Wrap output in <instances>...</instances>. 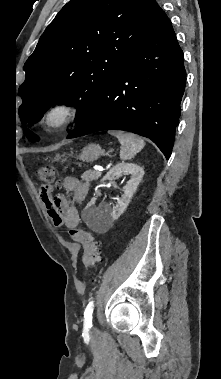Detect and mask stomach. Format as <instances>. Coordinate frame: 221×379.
<instances>
[{"label": "stomach", "instance_id": "stomach-1", "mask_svg": "<svg viewBox=\"0 0 221 379\" xmlns=\"http://www.w3.org/2000/svg\"><path fill=\"white\" fill-rule=\"evenodd\" d=\"M103 154L102 148L98 144H89L84 147L82 150L79 159L85 162H94ZM56 159H60V156L57 155Z\"/></svg>", "mask_w": 221, "mask_h": 379}]
</instances>
